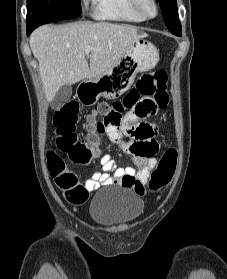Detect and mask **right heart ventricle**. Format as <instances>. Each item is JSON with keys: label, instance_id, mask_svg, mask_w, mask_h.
<instances>
[{"label": "right heart ventricle", "instance_id": "e07e8e85", "mask_svg": "<svg viewBox=\"0 0 227 279\" xmlns=\"http://www.w3.org/2000/svg\"><path fill=\"white\" fill-rule=\"evenodd\" d=\"M95 4L93 16L99 20H112L139 23L143 19L138 15L132 0H91Z\"/></svg>", "mask_w": 227, "mask_h": 279}]
</instances>
